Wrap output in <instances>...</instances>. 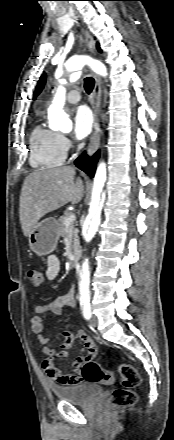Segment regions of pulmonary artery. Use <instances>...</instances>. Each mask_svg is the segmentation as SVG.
<instances>
[{
  "instance_id": "e3ab8cb5",
  "label": "pulmonary artery",
  "mask_w": 174,
  "mask_h": 440,
  "mask_svg": "<svg viewBox=\"0 0 174 440\" xmlns=\"http://www.w3.org/2000/svg\"><path fill=\"white\" fill-rule=\"evenodd\" d=\"M66 99L70 103H78L81 99L80 92L78 90H71L68 93Z\"/></svg>"
}]
</instances>
